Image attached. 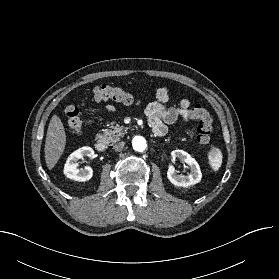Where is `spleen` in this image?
Instances as JSON below:
<instances>
[{
  "label": "spleen",
  "mask_w": 279,
  "mask_h": 279,
  "mask_svg": "<svg viewBox=\"0 0 279 279\" xmlns=\"http://www.w3.org/2000/svg\"><path fill=\"white\" fill-rule=\"evenodd\" d=\"M222 165V153L219 149H214L211 157V166L214 171H218Z\"/></svg>",
  "instance_id": "1"
}]
</instances>
